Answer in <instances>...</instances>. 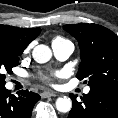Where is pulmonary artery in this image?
Returning <instances> with one entry per match:
<instances>
[{
    "label": "pulmonary artery",
    "instance_id": "obj_1",
    "mask_svg": "<svg viewBox=\"0 0 118 118\" xmlns=\"http://www.w3.org/2000/svg\"><path fill=\"white\" fill-rule=\"evenodd\" d=\"M52 49L55 57L60 61H65L74 51V45L71 41L63 40L52 43ZM90 88H85L84 93H89Z\"/></svg>",
    "mask_w": 118,
    "mask_h": 118
}]
</instances>
